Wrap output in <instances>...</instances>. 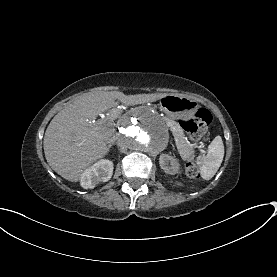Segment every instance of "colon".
Masks as SVG:
<instances>
[{
	"label": "colon",
	"instance_id": "colon-1",
	"mask_svg": "<svg viewBox=\"0 0 277 277\" xmlns=\"http://www.w3.org/2000/svg\"><path fill=\"white\" fill-rule=\"evenodd\" d=\"M195 120H190L188 117L181 119L180 125L185 130L191 139V142H197L206 132L211 123V114L205 108L197 109ZM180 152L183 157L187 158L192 152L193 147L191 144H184L180 147ZM199 171L192 161L186 163V174L189 177H197Z\"/></svg>",
	"mask_w": 277,
	"mask_h": 277
}]
</instances>
